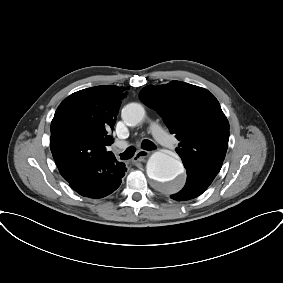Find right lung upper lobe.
Segmentation results:
<instances>
[{
    "label": "right lung upper lobe",
    "mask_w": 283,
    "mask_h": 283,
    "mask_svg": "<svg viewBox=\"0 0 283 283\" xmlns=\"http://www.w3.org/2000/svg\"><path fill=\"white\" fill-rule=\"evenodd\" d=\"M124 88L97 86L68 96L57 108L51 123V152L62 177L101 160L115 159L106 147L113 143L114 129Z\"/></svg>",
    "instance_id": "right-lung-upper-lobe-1"
}]
</instances>
